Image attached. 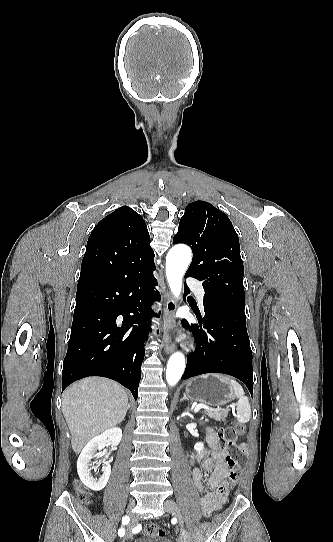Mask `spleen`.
I'll use <instances>...</instances> for the list:
<instances>
[{
  "instance_id": "obj_1",
  "label": "spleen",
  "mask_w": 333,
  "mask_h": 542,
  "mask_svg": "<svg viewBox=\"0 0 333 542\" xmlns=\"http://www.w3.org/2000/svg\"><path fill=\"white\" fill-rule=\"evenodd\" d=\"M215 378H218L220 382H226V384H230V388H232V392L235 396V398H238V402L236 404L237 406V422L239 424H247L251 418V408L249 404V400L247 396H245V392L241 386V384H238L236 380H232V378H227V376H221V374H214Z\"/></svg>"
}]
</instances>
